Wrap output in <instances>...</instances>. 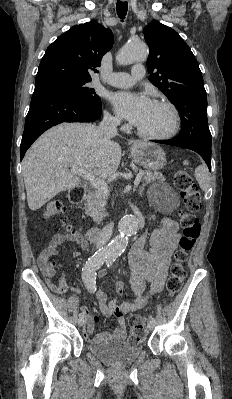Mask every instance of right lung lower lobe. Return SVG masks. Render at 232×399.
Segmentation results:
<instances>
[{
	"label": "right lung lower lobe",
	"mask_w": 232,
	"mask_h": 399,
	"mask_svg": "<svg viewBox=\"0 0 232 399\" xmlns=\"http://www.w3.org/2000/svg\"><path fill=\"white\" fill-rule=\"evenodd\" d=\"M101 114L102 106L83 103L59 86L35 84L20 146L21 159L32 143L52 126L62 122H93Z\"/></svg>",
	"instance_id": "1"
}]
</instances>
